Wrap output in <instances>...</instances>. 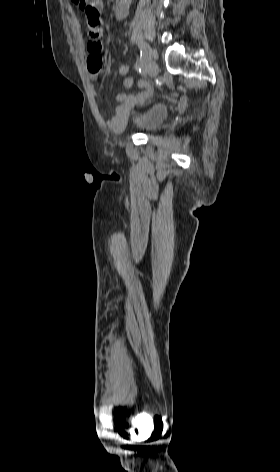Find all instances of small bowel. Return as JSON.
<instances>
[{"mask_svg": "<svg viewBox=\"0 0 280 472\" xmlns=\"http://www.w3.org/2000/svg\"><path fill=\"white\" fill-rule=\"evenodd\" d=\"M130 0H119L118 6L121 5L129 10ZM87 33L89 42L87 44V69L92 80H96L102 71V23L101 20L97 23L87 21ZM134 82L133 78H128L124 82L125 87H130ZM137 85L146 89L138 94H127L121 92L116 96V107L108 120V125L112 129H116L124 122L130 108L149 95L147 83L144 80H137Z\"/></svg>", "mask_w": 280, "mask_h": 472, "instance_id": "small-bowel-1", "label": "small bowel"}]
</instances>
